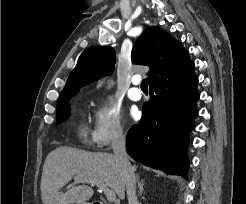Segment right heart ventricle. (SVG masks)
Here are the masks:
<instances>
[{
    "instance_id": "1",
    "label": "right heart ventricle",
    "mask_w": 246,
    "mask_h": 204,
    "mask_svg": "<svg viewBox=\"0 0 246 204\" xmlns=\"http://www.w3.org/2000/svg\"><path fill=\"white\" fill-rule=\"evenodd\" d=\"M79 136L82 140L86 141L87 140V131H86V128L81 125L79 127Z\"/></svg>"
}]
</instances>
